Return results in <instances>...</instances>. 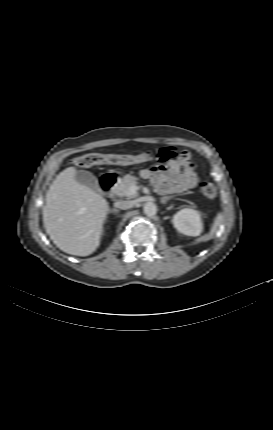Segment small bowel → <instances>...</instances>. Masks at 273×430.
Returning <instances> with one entry per match:
<instances>
[{"label": "small bowel", "instance_id": "obj_1", "mask_svg": "<svg viewBox=\"0 0 273 430\" xmlns=\"http://www.w3.org/2000/svg\"><path fill=\"white\" fill-rule=\"evenodd\" d=\"M158 155L163 157L159 158L161 164L143 169L140 174L150 179L160 193L184 192L197 185L198 177L188 152L174 158L171 150L162 149Z\"/></svg>", "mask_w": 273, "mask_h": 430}]
</instances>
